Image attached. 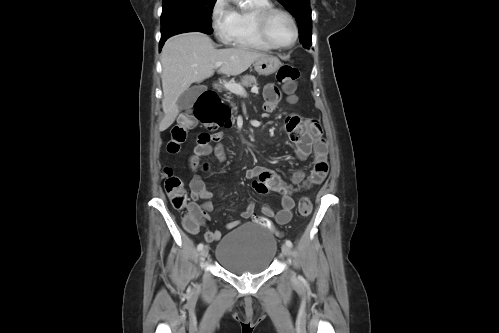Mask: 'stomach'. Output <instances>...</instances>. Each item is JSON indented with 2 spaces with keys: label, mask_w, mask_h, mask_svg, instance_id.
Segmentation results:
<instances>
[{
  "label": "stomach",
  "mask_w": 499,
  "mask_h": 333,
  "mask_svg": "<svg viewBox=\"0 0 499 333\" xmlns=\"http://www.w3.org/2000/svg\"><path fill=\"white\" fill-rule=\"evenodd\" d=\"M280 64L281 62L277 57L267 55L254 62V69L259 75L268 76L275 73Z\"/></svg>",
  "instance_id": "1"
}]
</instances>
